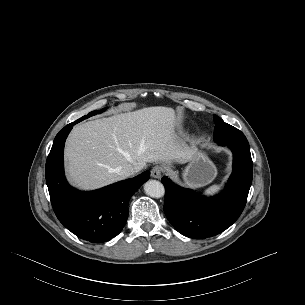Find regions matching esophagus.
Returning a JSON list of instances; mask_svg holds the SVG:
<instances>
[{"mask_svg": "<svg viewBox=\"0 0 305 305\" xmlns=\"http://www.w3.org/2000/svg\"><path fill=\"white\" fill-rule=\"evenodd\" d=\"M162 172H163V169H162V167L161 166H154L153 168H152V170H151V176L153 177V178H157V179H159L160 177H161V175H162Z\"/></svg>", "mask_w": 305, "mask_h": 305, "instance_id": "34e87169", "label": "esophagus"}]
</instances>
